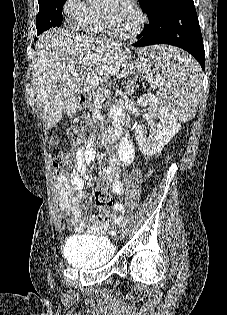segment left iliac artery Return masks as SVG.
<instances>
[{"instance_id":"left-iliac-artery-1","label":"left iliac artery","mask_w":227,"mask_h":315,"mask_svg":"<svg viewBox=\"0 0 227 315\" xmlns=\"http://www.w3.org/2000/svg\"><path fill=\"white\" fill-rule=\"evenodd\" d=\"M126 223H127L126 219L122 221V223H121L122 229L126 227Z\"/></svg>"}]
</instances>
